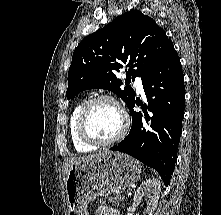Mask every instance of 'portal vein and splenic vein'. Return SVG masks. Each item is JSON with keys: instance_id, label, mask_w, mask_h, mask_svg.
I'll return each instance as SVG.
<instances>
[{"instance_id": "portal-vein-and-splenic-vein-1", "label": "portal vein and splenic vein", "mask_w": 221, "mask_h": 215, "mask_svg": "<svg viewBox=\"0 0 221 215\" xmlns=\"http://www.w3.org/2000/svg\"><path fill=\"white\" fill-rule=\"evenodd\" d=\"M120 197H121V196H120ZM123 199H124V196L121 197V200H123Z\"/></svg>"}]
</instances>
